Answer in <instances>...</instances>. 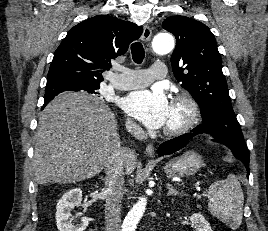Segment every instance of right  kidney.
<instances>
[{"mask_svg": "<svg viewBox=\"0 0 268 231\" xmlns=\"http://www.w3.org/2000/svg\"><path fill=\"white\" fill-rule=\"evenodd\" d=\"M82 190L74 188L66 192L56 206V224L59 231H84L88 227V218L83 217L78 224H73L72 209L81 204Z\"/></svg>", "mask_w": 268, "mask_h": 231, "instance_id": "ca27d5eb", "label": "right kidney"}]
</instances>
